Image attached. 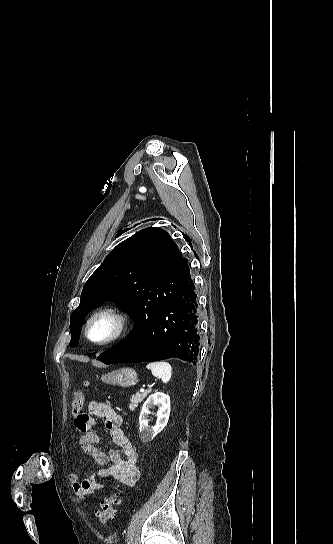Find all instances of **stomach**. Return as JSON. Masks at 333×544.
Returning a JSON list of instances; mask_svg holds the SVG:
<instances>
[{
    "mask_svg": "<svg viewBox=\"0 0 333 544\" xmlns=\"http://www.w3.org/2000/svg\"><path fill=\"white\" fill-rule=\"evenodd\" d=\"M137 378L136 371L131 368H122L102 376L104 382L123 387L134 385L137 382Z\"/></svg>",
    "mask_w": 333,
    "mask_h": 544,
    "instance_id": "0dacf381",
    "label": "stomach"
}]
</instances>
